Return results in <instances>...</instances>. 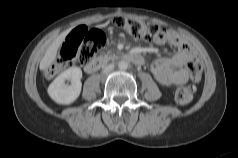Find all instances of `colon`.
<instances>
[{
	"label": "colon",
	"mask_w": 238,
	"mask_h": 158,
	"mask_svg": "<svg viewBox=\"0 0 238 158\" xmlns=\"http://www.w3.org/2000/svg\"><path fill=\"white\" fill-rule=\"evenodd\" d=\"M113 22L115 26L125 33L144 41H154L165 33L154 23L124 17H116ZM104 43L105 36L101 31L88 29L84 26L76 27L65 37L59 48L57 58L45 70V76L49 79L53 78L74 62L89 63ZM186 67L194 81L200 79L202 65L198 59H190ZM196 90L197 87L194 83L178 88L175 92V101L179 105H187L193 99Z\"/></svg>",
	"instance_id": "obj_1"
}]
</instances>
